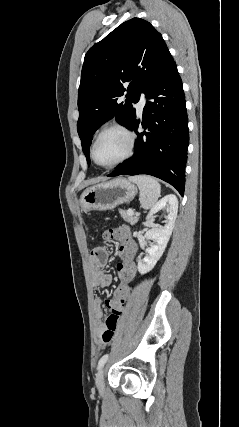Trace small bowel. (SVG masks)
Segmentation results:
<instances>
[{
	"mask_svg": "<svg viewBox=\"0 0 239 427\" xmlns=\"http://www.w3.org/2000/svg\"><path fill=\"white\" fill-rule=\"evenodd\" d=\"M114 230V229H111ZM110 250L107 247L98 246L95 247L89 256V263L92 275V283L96 288H106L112 284L113 278L112 275L106 273L104 271L105 266L108 263ZM128 298H125V301ZM94 306V316L96 319V328L98 331L103 329V315H104V307L106 305L105 301L96 297L93 302Z\"/></svg>",
	"mask_w": 239,
	"mask_h": 427,
	"instance_id": "c3829d8e",
	"label": "small bowel"
}]
</instances>
